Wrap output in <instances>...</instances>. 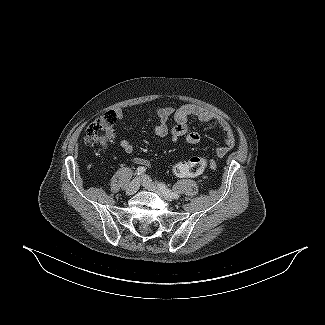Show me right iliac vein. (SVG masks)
Instances as JSON below:
<instances>
[{"label": "right iliac vein", "mask_w": 325, "mask_h": 325, "mask_svg": "<svg viewBox=\"0 0 325 325\" xmlns=\"http://www.w3.org/2000/svg\"><path fill=\"white\" fill-rule=\"evenodd\" d=\"M138 189H139V179L135 178L128 185V187L126 189V194L133 195L138 191Z\"/></svg>", "instance_id": "obj_1"}]
</instances>
